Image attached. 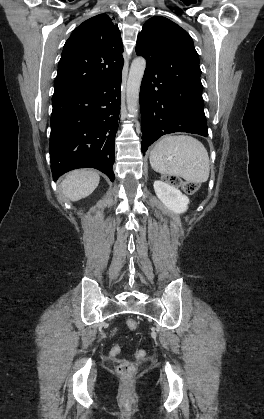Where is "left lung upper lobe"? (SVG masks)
Listing matches in <instances>:
<instances>
[{
    "label": "left lung upper lobe",
    "instance_id": "left-lung-upper-lobe-1",
    "mask_svg": "<svg viewBox=\"0 0 264 419\" xmlns=\"http://www.w3.org/2000/svg\"><path fill=\"white\" fill-rule=\"evenodd\" d=\"M154 51L161 74L185 82L200 81L199 56L190 35L161 16L150 18L138 34L136 52ZM151 53V52H150Z\"/></svg>",
    "mask_w": 264,
    "mask_h": 419
}]
</instances>
